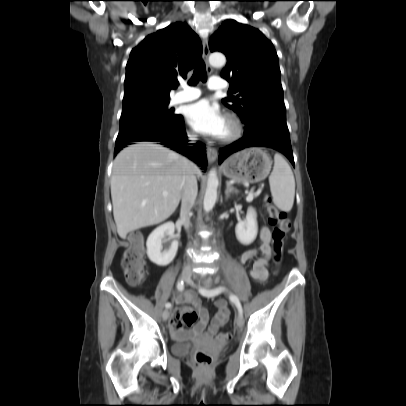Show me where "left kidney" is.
I'll return each mask as SVG.
<instances>
[{
  "label": "left kidney",
  "mask_w": 406,
  "mask_h": 406,
  "mask_svg": "<svg viewBox=\"0 0 406 406\" xmlns=\"http://www.w3.org/2000/svg\"><path fill=\"white\" fill-rule=\"evenodd\" d=\"M257 232L256 212L249 207L246 218L235 227L236 238L241 244L249 245L255 240Z\"/></svg>",
  "instance_id": "5707ae66"
}]
</instances>
